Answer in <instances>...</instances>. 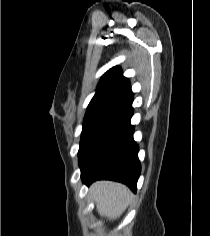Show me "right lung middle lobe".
I'll return each mask as SVG.
<instances>
[{"label":"right lung middle lobe","mask_w":210,"mask_h":236,"mask_svg":"<svg viewBox=\"0 0 210 236\" xmlns=\"http://www.w3.org/2000/svg\"><path fill=\"white\" fill-rule=\"evenodd\" d=\"M131 95L132 92L123 91L114 94L111 98L90 102L84 117L80 147L96 127L120 108Z\"/></svg>","instance_id":"1"}]
</instances>
